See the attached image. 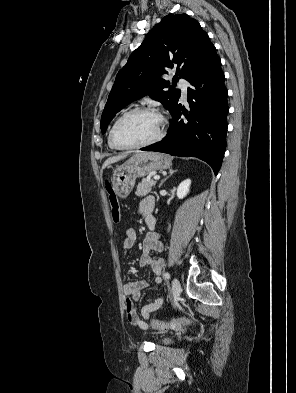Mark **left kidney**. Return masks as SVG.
Listing matches in <instances>:
<instances>
[{
  "label": "left kidney",
  "mask_w": 296,
  "mask_h": 393,
  "mask_svg": "<svg viewBox=\"0 0 296 393\" xmlns=\"http://www.w3.org/2000/svg\"><path fill=\"white\" fill-rule=\"evenodd\" d=\"M190 185H191L190 179H186L180 183L176 193L179 199H183L189 193Z\"/></svg>",
  "instance_id": "obj_1"
}]
</instances>
